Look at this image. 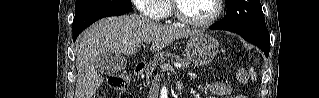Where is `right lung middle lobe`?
I'll return each instance as SVG.
<instances>
[{
	"label": "right lung middle lobe",
	"mask_w": 319,
	"mask_h": 98,
	"mask_svg": "<svg viewBox=\"0 0 319 98\" xmlns=\"http://www.w3.org/2000/svg\"><path fill=\"white\" fill-rule=\"evenodd\" d=\"M102 9L132 10L131 0H76L75 15Z\"/></svg>",
	"instance_id": "1"
}]
</instances>
